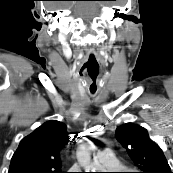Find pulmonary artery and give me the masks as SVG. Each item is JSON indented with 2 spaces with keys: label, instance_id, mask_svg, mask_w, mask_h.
I'll use <instances>...</instances> for the list:
<instances>
[{
  "label": "pulmonary artery",
  "instance_id": "1",
  "mask_svg": "<svg viewBox=\"0 0 173 173\" xmlns=\"http://www.w3.org/2000/svg\"><path fill=\"white\" fill-rule=\"evenodd\" d=\"M95 159L108 168H113L116 162L113 152L109 149L99 150L95 155Z\"/></svg>",
  "mask_w": 173,
  "mask_h": 173
}]
</instances>
